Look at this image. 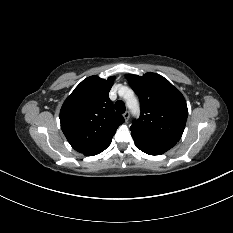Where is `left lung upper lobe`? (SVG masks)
Here are the masks:
<instances>
[{"instance_id":"left-lung-upper-lobe-1","label":"left lung upper lobe","mask_w":233,"mask_h":233,"mask_svg":"<svg viewBox=\"0 0 233 233\" xmlns=\"http://www.w3.org/2000/svg\"><path fill=\"white\" fill-rule=\"evenodd\" d=\"M126 78L141 102V114L130 127L131 134L178 142L188 116L181 92L159 74H127Z\"/></svg>"}]
</instances>
